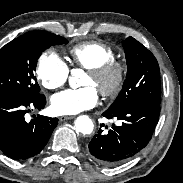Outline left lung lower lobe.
I'll use <instances>...</instances> for the list:
<instances>
[{
	"label": "left lung lower lobe",
	"mask_w": 183,
	"mask_h": 183,
	"mask_svg": "<svg viewBox=\"0 0 183 183\" xmlns=\"http://www.w3.org/2000/svg\"><path fill=\"white\" fill-rule=\"evenodd\" d=\"M159 113L160 105L151 103L107 109L102 115L107 119L116 117L122 124H113L106 133L100 129L89 143L90 156L103 166H114L133 157L151 140Z\"/></svg>",
	"instance_id": "0a47b994"
}]
</instances>
